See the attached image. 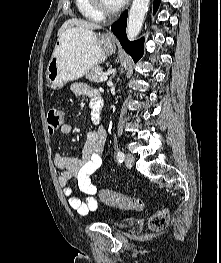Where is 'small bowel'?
Instances as JSON below:
<instances>
[{
    "label": "small bowel",
    "mask_w": 221,
    "mask_h": 263,
    "mask_svg": "<svg viewBox=\"0 0 221 263\" xmlns=\"http://www.w3.org/2000/svg\"><path fill=\"white\" fill-rule=\"evenodd\" d=\"M72 91L76 96L90 98L92 108L98 100H101L98 90L83 82L73 83ZM60 131L62 134H70L72 126L64 123ZM105 139V128L96 123V127L87 133L81 158L67 157L58 151L54 152V164L60 170L57 179L62 188V193L67 198L69 207L80 215H87L98 208L97 187L92 183L91 176L102 165ZM73 178L77 180L80 191L85 193L84 200L74 195V189L69 185V181Z\"/></svg>",
    "instance_id": "c3829d8e"
}]
</instances>
